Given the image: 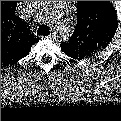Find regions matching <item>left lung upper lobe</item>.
Instances as JSON below:
<instances>
[{
	"label": "left lung upper lobe",
	"instance_id": "left-lung-upper-lobe-1",
	"mask_svg": "<svg viewBox=\"0 0 121 121\" xmlns=\"http://www.w3.org/2000/svg\"><path fill=\"white\" fill-rule=\"evenodd\" d=\"M74 33L61 49L72 58H84L104 49L118 25L114 7L107 1H79Z\"/></svg>",
	"mask_w": 121,
	"mask_h": 121
}]
</instances>
